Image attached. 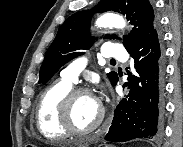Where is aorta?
<instances>
[{
  "label": "aorta",
  "mask_w": 183,
  "mask_h": 147,
  "mask_svg": "<svg viewBox=\"0 0 183 147\" xmlns=\"http://www.w3.org/2000/svg\"><path fill=\"white\" fill-rule=\"evenodd\" d=\"M96 26L100 28L123 29L126 26V22L120 15L105 13L96 20Z\"/></svg>",
  "instance_id": "obj_1"
}]
</instances>
